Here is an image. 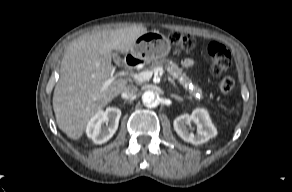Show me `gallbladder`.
Returning <instances> with one entry per match:
<instances>
[{"mask_svg":"<svg viewBox=\"0 0 292 192\" xmlns=\"http://www.w3.org/2000/svg\"><path fill=\"white\" fill-rule=\"evenodd\" d=\"M113 60L117 64L121 63V58L119 57V55L117 53L113 54Z\"/></svg>","mask_w":292,"mask_h":192,"instance_id":"gallbladder-1","label":"gallbladder"}]
</instances>
